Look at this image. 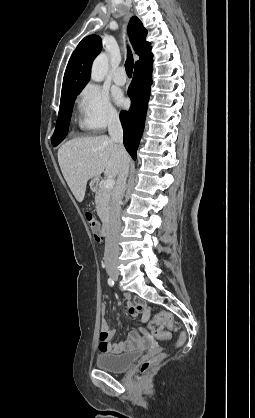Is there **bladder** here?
<instances>
[{"mask_svg":"<svg viewBox=\"0 0 255 418\" xmlns=\"http://www.w3.org/2000/svg\"><path fill=\"white\" fill-rule=\"evenodd\" d=\"M140 356L139 350L120 354L103 353L96 357V365L99 369L108 372L121 373L126 371Z\"/></svg>","mask_w":255,"mask_h":418,"instance_id":"bladder-1","label":"bladder"}]
</instances>
